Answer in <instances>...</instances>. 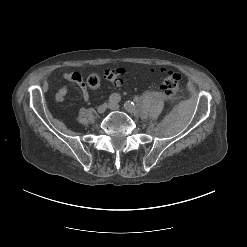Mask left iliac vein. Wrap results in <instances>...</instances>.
<instances>
[{
	"label": "left iliac vein",
	"instance_id": "4c4485c4",
	"mask_svg": "<svg viewBox=\"0 0 247 247\" xmlns=\"http://www.w3.org/2000/svg\"><path fill=\"white\" fill-rule=\"evenodd\" d=\"M109 108H110L111 110L116 111V110H119V109H120V106H119L118 104H116V103H111V104H109ZM127 111H128V110H127Z\"/></svg>",
	"mask_w": 247,
	"mask_h": 247
}]
</instances>
